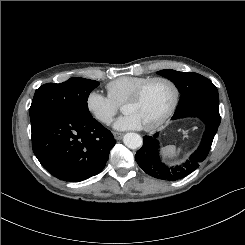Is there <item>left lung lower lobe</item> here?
Instances as JSON below:
<instances>
[{
    "instance_id": "obj_1",
    "label": "left lung lower lobe",
    "mask_w": 245,
    "mask_h": 245,
    "mask_svg": "<svg viewBox=\"0 0 245 245\" xmlns=\"http://www.w3.org/2000/svg\"><path fill=\"white\" fill-rule=\"evenodd\" d=\"M183 117H198L206 125V130L197 150L185 163L167 166L161 161L159 155V143L156 139L158 133L153 136H145L143 138V146L135 155L138 165L144 172L158 179L176 181L196 170L199 164L207 157L220 124L219 105L209 103L193 105L173 115L172 119Z\"/></svg>"
}]
</instances>
